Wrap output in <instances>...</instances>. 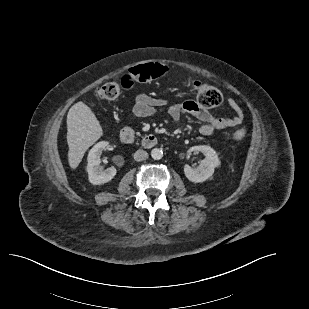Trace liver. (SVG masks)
I'll return each instance as SVG.
<instances>
[{
  "mask_svg": "<svg viewBox=\"0 0 309 309\" xmlns=\"http://www.w3.org/2000/svg\"><path fill=\"white\" fill-rule=\"evenodd\" d=\"M103 135L92 110L83 102L74 104L67 114L68 163L71 169L80 164L86 150Z\"/></svg>",
  "mask_w": 309,
  "mask_h": 309,
  "instance_id": "1",
  "label": "liver"
}]
</instances>
